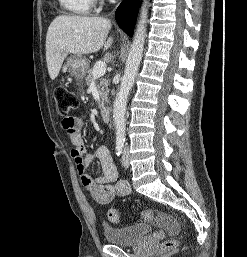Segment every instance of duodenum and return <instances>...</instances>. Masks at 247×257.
Wrapping results in <instances>:
<instances>
[{
    "instance_id": "1",
    "label": "duodenum",
    "mask_w": 247,
    "mask_h": 257,
    "mask_svg": "<svg viewBox=\"0 0 247 257\" xmlns=\"http://www.w3.org/2000/svg\"><path fill=\"white\" fill-rule=\"evenodd\" d=\"M100 114L104 121H109L111 118V109L108 106H103L100 110Z\"/></svg>"
}]
</instances>
